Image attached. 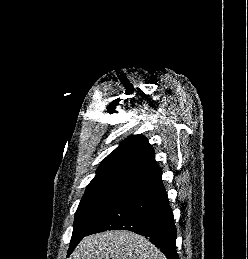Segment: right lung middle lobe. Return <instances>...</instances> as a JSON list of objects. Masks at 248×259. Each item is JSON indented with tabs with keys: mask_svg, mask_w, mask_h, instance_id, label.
I'll list each match as a JSON object with an SVG mask.
<instances>
[{
	"mask_svg": "<svg viewBox=\"0 0 248 259\" xmlns=\"http://www.w3.org/2000/svg\"><path fill=\"white\" fill-rule=\"evenodd\" d=\"M132 185L120 182L87 186L78 206L69 251L98 223Z\"/></svg>",
	"mask_w": 248,
	"mask_h": 259,
	"instance_id": "right-lung-middle-lobe-1",
	"label": "right lung middle lobe"
}]
</instances>
